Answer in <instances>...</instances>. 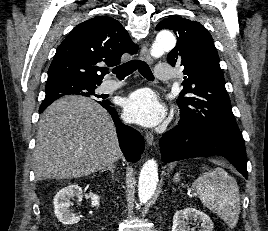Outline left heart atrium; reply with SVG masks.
<instances>
[{
    "instance_id": "obj_1",
    "label": "left heart atrium",
    "mask_w": 268,
    "mask_h": 231,
    "mask_svg": "<svg viewBox=\"0 0 268 231\" xmlns=\"http://www.w3.org/2000/svg\"><path fill=\"white\" fill-rule=\"evenodd\" d=\"M164 115V107L150 89L137 90L125 100L124 116L129 122L151 127L160 123Z\"/></svg>"
}]
</instances>
